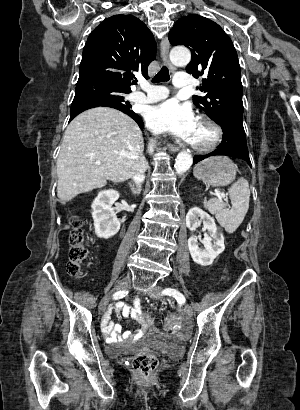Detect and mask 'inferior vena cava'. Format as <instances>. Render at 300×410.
<instances>
[{
  "label": "inferior vena cava",
  "instance_id": "obj_1",
  "mask_svg": "<svg viewBox=\"0 0 300 410\" xmlns=\"http://www.w3.org/2000/svg\"><path fill=\"white\" fill-rule=\"evenodd\" d=\"M150 148H153V143L150 144ZM144 171L145 169L140 168L132 177L133 181L137 186H140V184L145 180Z\"/></svg>",
  "mask_w": 300,
  "mask_h": 410
}]
</instances>
